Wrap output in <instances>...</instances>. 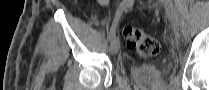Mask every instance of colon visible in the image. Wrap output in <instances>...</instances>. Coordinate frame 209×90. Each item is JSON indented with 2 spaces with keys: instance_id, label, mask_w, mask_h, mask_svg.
I'll return each mask as SVG.
<instances>
[{
  "instance_id": "5ec220e1",
  "label": "colon",
  "mask_w": 209,
  "mask_h": 90,
  "mask_svg": "<svg viewBox=\"0 0 209 90\" xmlns=\"http://www.w3.org/2000/svg\"><path fill=\"white\" fill-rule=\"evenodd\" d=\"M127 47L135 50L141 57H154L160 51L159 42L151 35L133 26L123 28Z\"/></svg>"
}]
</instances>
